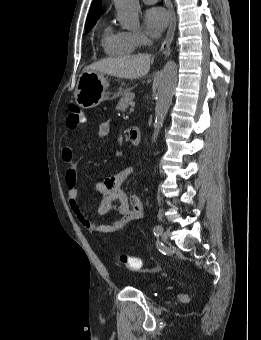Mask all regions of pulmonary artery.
<instances>
[{
	"instance_id": "1",
	"label": "pulmonary artery",
	"mask_w": 261,
	"mask_h": 340,
	"mask_svg": "<svg viewBox=\"0 0 261 340\" xmlns=\"http://www.w3.org/2000/svg\"><path fill=\"white\" fill-rule=\"evenodd\" d=\"M145 3L152 4L155 3L157 0H142Z\"/></svg>"
}]
</instances>
